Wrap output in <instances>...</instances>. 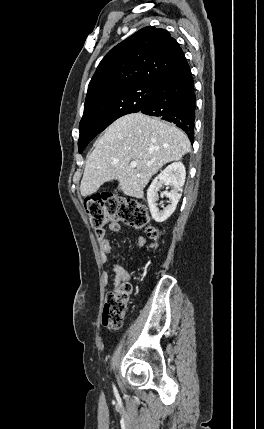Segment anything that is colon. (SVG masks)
<instances>
[{"label":"colon","instance_id":"5ec220e1","mask_svg":"<svg viewBox=\"0 0 264 429\" xmlns=\"http://www.w3.org/2000/svg\"><path fill=\"white\" fill-rule=\"evenodd\" d=\"M84 206L91 226L98 233L103 231L108 221H122L135 229L146 228V234L153 244L161 236L157 227L149 225L146 208L135 200L113 194H95L86 198ZM131 292V284L122 282L106 293L102 315L105 327L114 330L122 327Z\"/></svg>","mask_w":264,"mask_h":429}]
</instances>
